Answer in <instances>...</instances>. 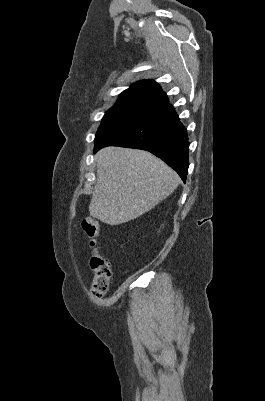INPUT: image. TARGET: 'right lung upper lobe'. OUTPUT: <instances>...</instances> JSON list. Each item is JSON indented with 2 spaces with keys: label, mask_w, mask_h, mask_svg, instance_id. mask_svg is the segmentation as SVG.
<instances>
[{
  "label": "right lung upper lobe",
  "mask_w": 265,
  "mask_h": 401,
  "mask_svg": "<svg viewBox=\"0 0 265 401\" xmlns=\"http://www.w3.org/2000/svg\"><path fill=\"white\" fill-rule=\"evenodd\" d=\"M146 103L161 106L170 105L169 99L161 86L152 80H142L122 92L115 105Z\"/></svg>",
  "instance_id": "obj_1"
}]
</instances>
